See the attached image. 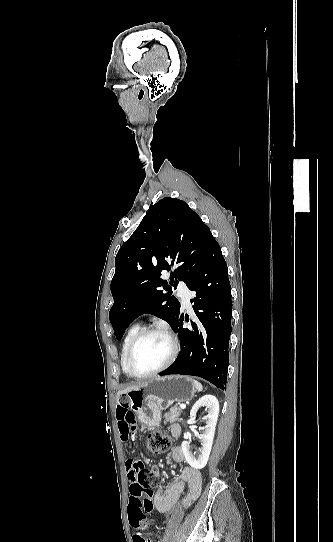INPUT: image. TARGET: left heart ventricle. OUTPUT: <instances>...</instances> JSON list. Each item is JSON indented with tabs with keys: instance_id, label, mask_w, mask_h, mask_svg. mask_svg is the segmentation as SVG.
<instances>
[{
	"instance_id": "obj_1",
	"label": "left heart ventricle",
	"mask_w": 333,
	"mask_h": 542,
	"mask_svg": "<svg viewBox=\"0 0 333 542\" xmlns=\"http://www.w3.org/2000/svg\"><path fill=\"white\" fill-rule=\"evenodd\" d=\"M169 344L165 337L159 334L148 335L136 346L131 368L134 373L143 375L159 368L169 355Z\"/></svg>"
}]
</instances>
